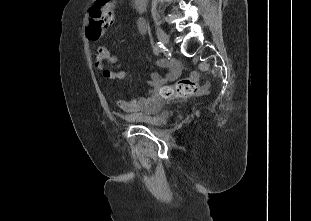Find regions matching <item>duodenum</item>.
<instances>
[{"label":"duodenum","instance_id":"obj_1","mask_svg":"<svg viewBox=\"0 0 311 221\" xmlns=\"http://www.w3.org/2000/svg\"><path fill=\"white\" fill-rule=\"evenodd\" d=\"M148 2L149 0H134L135 9L138 11L143 10Z\"/></svg>","mask_w":311,"mask_h":221}]
</instances>
